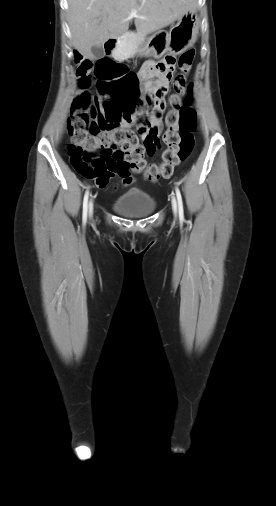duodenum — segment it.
<instances>
[{"mask_svg": "<svg viewBox=\"0 0 276 506\" xmlns=\"http://www.w3.org/2000/svg\"><path fill=\"white\" fill-rule=\"evenodd\" d=\"M123 41H124L123 35H118V36H114V37L109 38L105 43L104 50L102 51V56L104 58L115 57L117 54L116 50H118V49H116V46ZM119 54L122 57L127 56L130 58L133 56L134 53L132 50L129 49V47L125 46V47H123L122 51H120Z\"/></svg>", "mask_w": 276, "mask_h": 506, "instance_id": "410a0bca", "label": "duodenum"}]
</instances>
